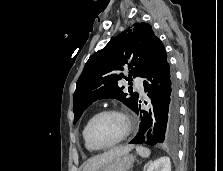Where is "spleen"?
Returning a JSON list of instances; mask_svg holds the SVG:
<instances>
[{"label":"spleen","instance_id":"obj_1","mask_svg":"<svg viewBox=\"0 0 223 171\" xmlns=\"http://www.w3.org/2000/svg\"><path fill=\"white\" fill-rule=\"evenodd\" d=\"M136 151L143 158H148L151 154V151L143 146H136Z\"/></svg>","mask_w":223,"mask_h":171}]
</instances>
